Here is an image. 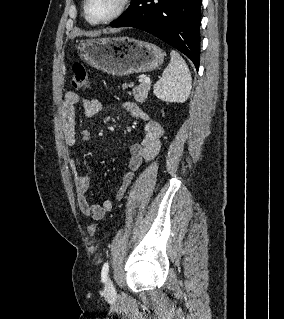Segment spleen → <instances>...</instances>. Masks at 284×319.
<instances>
[{"label": "spleen", "mask_w": 284, "mask_h": 319, "mask_svg": "<svg viewBox=\"0 0 284 319\" xmlns=\"http://www.w3.org/2000/svg\"><path fill=\"white\" fill-rule=\"evenodd\" d=\"M170 56V64L154 85L153 92L162 101L183 103L190 95L191 75L179 53L173 50Z\"/></svg>", "instance_id": "3e777b00"}]
</instances>
